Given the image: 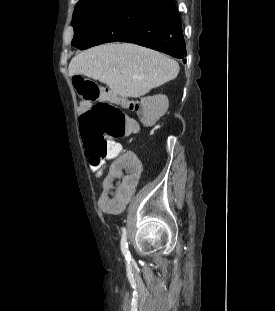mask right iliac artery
I'll return each mask as SVG.
<instances>
[{
  "label": "right iliac artery",
  "mask_w": 275,
  "mask_h": 311,
  "mask_svg": "<svg viewBox=\"0 0 275 311\" xmlns=\"http://www.w3.org/2000/svg\"><path fill=\"white\" fill-rule=\"evenodd\" d=\"M121 251L125 257V259L130 262L131 255L128 249V243H127V231L126 228H122V238H121Z\"/></svg>",
  "instance_id": "82829eb1"
}]
</instances>
